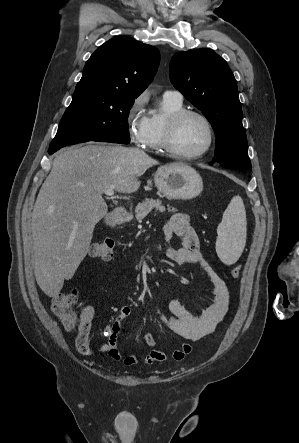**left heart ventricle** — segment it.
Segmentation results:
<instances>
[{
	"label": "left heart ventricle",
	"instance_id": "left-heart-ventricle-1",
	"mask_svg": "<svg viewBox=\"0 0 299 443\" xmlns=\"http://www.w3.org/2000/svg\"><path fill=\"white\" fill-rule=\"evenodd\" d=\"M208 140L204 122L195 116H188L179 124L174 145L182 153L193 154L201 151Z\"/></svg>",
	"mask_w": 299,
	"mask_h": 443
}]
</instances>
